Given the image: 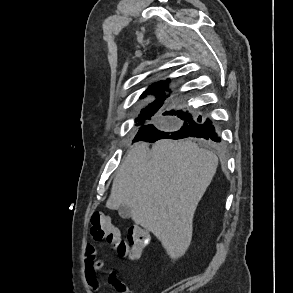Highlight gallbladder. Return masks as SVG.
Instances as JSON below:
<instances>
[{"label":"gallbladder","instance_id":"gallbladder-1","mask_svg":"<svg viewBox=\"0 0 293 293\" xmlns=\"http://www.w3.org/2000/svg\"><path fill=\"white\" fill-rule=\"evenodd\" d=\"M117 210L119 215L124 219L130 216V208L126 205H120Z\"/></svg>","mask_w":293,"mask_h":293}]
</instances>
